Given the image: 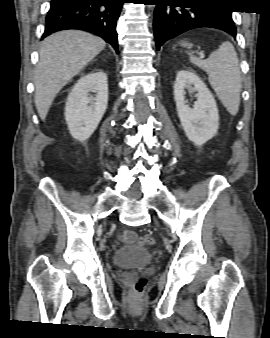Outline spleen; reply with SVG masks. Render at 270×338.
Instances as JSON below:
<instances>
[{
	"label": "spleen",
	"instance_id": "3e777b00",
	"mask_svg": "<svg viewBox=\"0 0 270 338\" xmlns=\"http://www.w3.org/2000/svg\"><path fill=\"white\" fill-rule=\"evenodd\" d=\"M190 61L208 74V80L217 97L231 115H236L242 88L239 61L234 46L223 42L208 59L190 55Z\"/></svg>",
	"mask_w": 270,
	"mask_h": 338
}]
</instances>
